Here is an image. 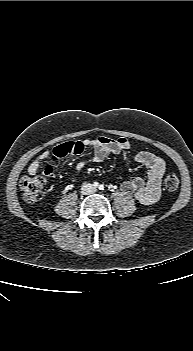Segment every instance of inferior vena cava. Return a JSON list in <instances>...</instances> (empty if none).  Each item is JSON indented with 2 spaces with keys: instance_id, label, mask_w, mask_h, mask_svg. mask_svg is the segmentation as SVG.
Listing matches in <instances>:
<instances>
[{
  "instance_id": "obj_1",
  "label": "inferior vena cava",
  "mask_w": 193,
  "mask_h": 351,
  "mask_svg": "<svg viewBox=\"0 0 193 351\" xmlns=\"http://www.w3.org/2000/svg\"><path fill=\"white\" fill-rule=\"evenodd\" d=\"M96 191V188L90 183H84L81 188V193L84 195L92 194Z\"/></svg>"
}]
</instances>
